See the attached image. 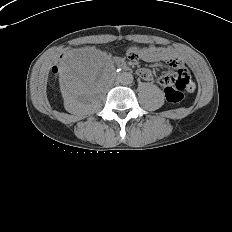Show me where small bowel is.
Wrapping results in <instances>:
<instances>
[{
    "instance_id": "1",
    "label": "small bowel",
    "mask_w": 232,
    "mask_h": 232,
    "mask_svg": "<svg viewBox=\"0 0 232 232\" xmlns=\"http://www.w3.org/2000/svg\"><path fill=\"white\" fill-rule=\"evenodd\" d=\"M140 58L146 62H156V63H164L168 66L175 68L176 72L174 75L178 76L181 74H187L186 69L183 66V61L179 56L176 49L170 46H155L150 45L147 47L141 48L137 52ZM139 76L147 81L150 82L153 80L151 72L145 68H142L138 71ZM161 85L164 86L163 78L160 80ZM195 88L194 83L189 79V85L187 86V91H193Z\"/></svg>"
}]
</instances>
